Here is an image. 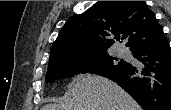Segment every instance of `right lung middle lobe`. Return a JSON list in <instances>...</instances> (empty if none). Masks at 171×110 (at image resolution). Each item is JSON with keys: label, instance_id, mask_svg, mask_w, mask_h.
Wrapping results in <instances>:
<instances>
[{"label": "right lung middle lobe", "instance_id": "right-lung-middle-lobe-1", "mask_svg": "<svg viewBox=\"0 0 171 110\" xmlns=\"http://www.w3.org/2000/svg\"><path fill=\"white\" fill-rule=\"evenodd\" d=\"M129 63L110 57L107 50L82 52L53 58L48 65L45 81L51 82L74 76L80 71L99 75L127 66Z\"/></svg>", "mask_w": 171, "mask_h": 110}]
</instances>
